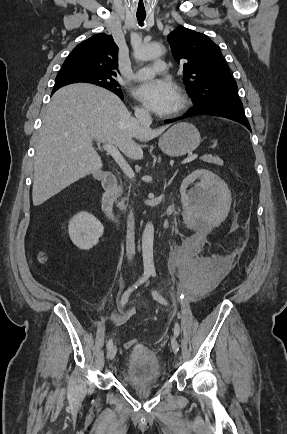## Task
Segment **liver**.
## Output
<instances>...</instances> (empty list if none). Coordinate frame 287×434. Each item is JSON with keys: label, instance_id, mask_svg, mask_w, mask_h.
Returning a JSON list of instances; mask_svg holds the SVG:
<instances>
[{"label": "liver", "instance_id": "1", "mask_svg": "<svg viewBox=\"0 0 287 434\" xmlns=\"http://www.w3.org/2000/svg\"><path fill=\"white\" fill-rule=\"evenodd\" d=\"M34 157L33 205L39 206L63 189L102 168L92 140L115 145L129 159L164 128L150 129L134 118L112 92L90 84L62 87L42 117Z\"/></svg>", "mask_w": 287, "mask_h": 434}]
</instances>
